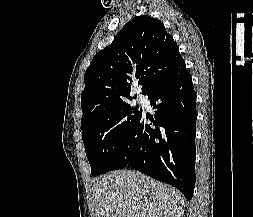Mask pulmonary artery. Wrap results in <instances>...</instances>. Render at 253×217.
I'll list each match as a JSON object with an SVG mask.
<instances>
[{"label": "pulmonary artery", "instance_id": "e3ab8cb5", "mask_svg": "<svg viewBox=\"0 0 253 217\" xmlns=\"http://www.w3.org/2000/svg\"><path fill=\"white\" fill-rule=\"evenodd\" d=\"M138 100L142 101L143 100L142 96H138Z\"/></svg>", "mask_w": 253, "mask_h": 217}]
</instances>
